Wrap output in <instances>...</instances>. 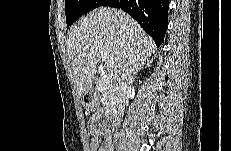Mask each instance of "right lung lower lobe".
Here are the masks:
<instances>
[{"mask_svg":"<svg viewBox=\"0 0 231 151\" xmlns=\"http://www.w3.org/2000/svg\"><path fill=\"white\" fill-rule=\"evenodd\" d=\"M102 6L121 8L140 24L158 47L163 43L169 0H105Z\"/></svg>","mask_w":231,"mask_h":151,"instance_id":"1","label":"right lung lower lobe"}]
</instances>
